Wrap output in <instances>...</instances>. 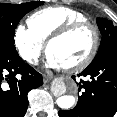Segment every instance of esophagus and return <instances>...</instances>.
Segmentation results:
<instances>
[{"label": "esophagus", "mask_w": 117, "mask_h": 117, "mask_svg": "<svg viewBox=\"0 0 117 117\" xmlns=\"http://www.w3.org/2000/svg\"><path fill=\"white\" fill-rule=\"evenodd\" d=\"M52 79V77L51 76H49V75H43V82L46 84V83H48L50 80Z\"/></svg>", "instance_id": "obj_1"}]
</instances>
